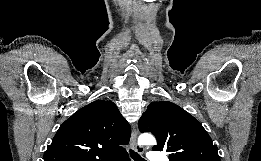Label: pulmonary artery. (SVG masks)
<instances>
[{"label": "pulmonary artery", "instance_id": "obj_1", "mask_svg": "<svg viewBox=\"0 0 261 161\" xmlns=\"http://www.w3.org/2000/svg\"><path fill=\"white\" fill-rule=\"evenodd\" d=\"M151 161H169L168 157L163 155V156H158V155H153L150 157Z\"/></svg>", "mask_w": 261, "mask_h": 161}]
</instances>
